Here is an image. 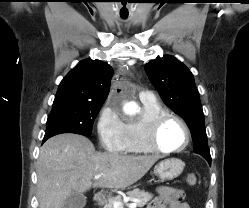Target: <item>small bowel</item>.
I'll list each match as a JSON object with an SVG mask.
<instances>
[{"label":"small bowel","instance_id":"obj_1","mask_svg":"<svg viewBox=\"0 0 249 208\" xmlns=\"http://www.w3.org/2000/svg\"><path fill=\"white\" fill-rule=\"evenodd\" d=\"M184 197V191L162 186L157 189V196L150 202L147 208H190L183 201Z\"/></svg>","mask_w":249,"mask_h":208}]
</instances>
